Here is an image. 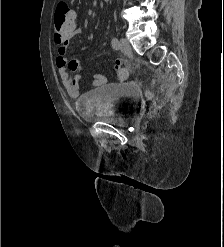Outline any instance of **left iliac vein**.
<instances>
[{
    "mask_svg": "<svg viewBox=\"0 0 224 247\" xmlns=\"http://www.w3.org/2000/svg\"><path fill=\"white\" fill-rule=\"evenodd\" d=\"M119 49L127 55H130L132 53L131 46L129 42L125 38H121L119 42Z\"/></svg>",
    "mask_w": 224,
    "mask_h": 247,
    "instance_id": "1",
    "label": "left iliac vein"
}]
</instances>
